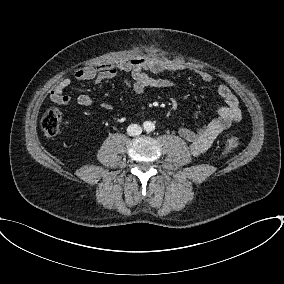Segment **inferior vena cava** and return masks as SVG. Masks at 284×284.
Wrapping results in <instances>:
<instances>
[{"mask_svg":"<svg viewBox=\"0 0 284 284\" xmlns=\"http://www.w3.org/2000/svg\"><path fill=\"white\" fill-rule=\"evenodd\" d=\"M141 133H142V128L137 124H131L127 127V134L129 136H137L140 135Z\"/></svg>","mask_w":284,"mask_h":284,"instance_id":"602c4592","label":"inferior vena cava"}]
</instances>
